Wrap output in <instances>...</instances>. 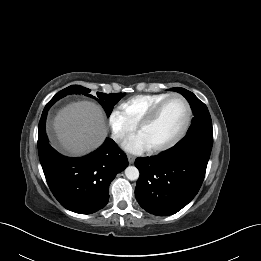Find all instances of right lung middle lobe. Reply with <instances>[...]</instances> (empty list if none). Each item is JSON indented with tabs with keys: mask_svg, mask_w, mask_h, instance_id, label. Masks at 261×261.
Returning <instances> with one entry per match:
<instances>
[{
	"mask_svg": "<svg viewBox=\"0 0 261 261\" xmlns=\"http://www.w3.org/2000/svg\"><path fill=\"white\" fill-rule=\"evenodd\" d=\"M91 90L87 89L85 87L82 86H78V85H72L69 86L65 89H63L62 91L58 92L49 102L50 103H55L57 100H59L60 98L68 95V94H73V93H80V94H84L87 96H91L89 94ZM125 95V93H111V94H105V93H101L98 92L97 93V97H98V101L99 103L103 106L104 110L107 113V116H110L113 106Z\"/></svg>",
	"mask_w": 261,
	"mask_h": 261,
	"instance_id": "right-lung-middle-lobe-1",
	"label": "right lung middle lobe"
}]
</instances>
